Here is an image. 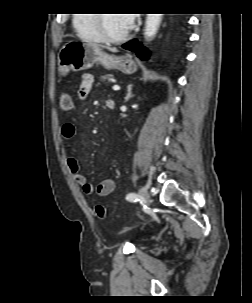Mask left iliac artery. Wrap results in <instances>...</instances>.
<instances>
[{"mask_svg":"<svg viewBox=\"0 0 252 303\" xmlns=\"http://www.w3.org/2000/svg\"><path fill=\"white\" fill-rule=\"evenodd\" d=\"M126 199L130 202H138L139 201V196L136 193H129L126 196Z\"/></svg>","mask_w":252,"mask_h":303,"instance_id":"left-iliac-artery-1","label":"left iliac artery"}]
</instances>
